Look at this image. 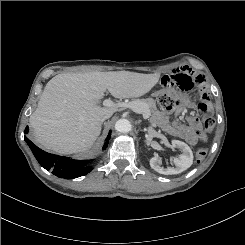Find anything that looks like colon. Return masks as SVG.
Instances as JSON below:
<instances>
[{
	"label": "colon",
	"instance_id": "1",
	"mask_svg": "<svg viewBox=\"0 0 245 245\" xmlns=\"http://www.w3.org/2000/svg\"><path fill=\"white\" fill-rule=\"evenodd\" d=\"M159 105L165 111H172L177 107L178 101L174 95L165 92L161 94L159 97ZM214 124L215 122L212 118H206L204 120L203 125L199 130V136L201 137V139L203 140L206 139L207 134L210 133L214 128ZM206 155H207L206 149L198 148L195 154L196 161L198 163L202 162L205 159Z\"/></svg>",
	"mask_w": 245,
	"mask_h": 245
}]
</instances>
